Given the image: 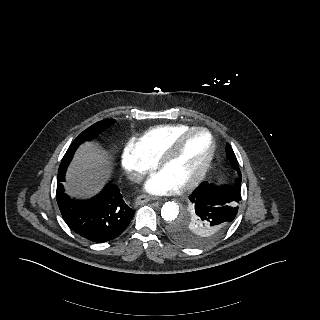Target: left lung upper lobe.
<instances>
[{
	"label": "left lung upper lobe",
	"mask_w": 320,
	"mask_h": 320,
	"mask_svg": "<svg viewBox=\"0 0 320 320\" xmlns=\"http://www.w3.org/2000/svg\"><path fill=\"white\" fill-rule=\"evenodd\" d=\"M226 156L229 160L230 165L233 169L239 172V176L236 179V183L234 185L241 186V173L238 167V161L233 152L230 144L226 145ZM210 229L209 223L202 219L192 207H190L189 212L187 213V220L185 227L179 226L177 224H172L169 227L172 235L186 244H194V237H203L207 238V231Z\"/></svg>",
	"instance_id": "5c2ea615"
}]
</instances>
